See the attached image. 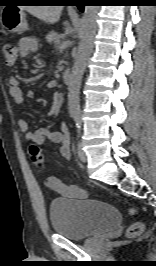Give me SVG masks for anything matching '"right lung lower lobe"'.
I'll return each instance as SVG.
<instances>
[{
    "instance_id": "98d812e1",
    "label": "right lung lower lobe",
    "mask_w": 156,
    "mask_h": 266,
    "mask_svg": "<svg viewBox=\"0 0 156 266\" xmlns=\"http://www.w3.org/2000/svg\"><path fill=\"white\" fill-rule=\"evenodd\" d=\"M85 2L86 1H78V2H76L77 3L76 5H77V7L79 8L80 11L84 10Z\"/></svg>"
}]
</instances>
